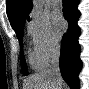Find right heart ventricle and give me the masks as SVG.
<instances>
[{
	"mask_svg": "<svg viewBox=\"0 0 89 89\" xmlns=\"http://www.w3.org/2000/svg\"><path fill=\"white\" fill-rule=\"evenodd\" d=\"M29 61L31 66L35 69H43L46 66V63H44L34 51L29 53Z\"/></svg>",
	"mask_w": 89,
	"mask_h": 89,
	"instance_id": "1",
	"label": "right heart ventricle"
}]
</instances>
